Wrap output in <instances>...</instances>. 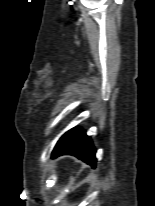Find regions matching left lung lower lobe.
<instances>
[{"label":"left lung lower lobe","mask_w":155,"mask_h":206,"mask_svg":"<svg viewBox=\"0 0 155 206\" xmlns=\"http://www.w3.org/2000/svg\"><path fill=\"white\" fill-rule=\"evenodd\" d=\"M95 152L91 138L85 131L76 127L60 138L52 152V157L73 155L95 167L97 161Z\"/></svg>","instance_id":"left-lung-lower-lobe-1"}]
</instances>
